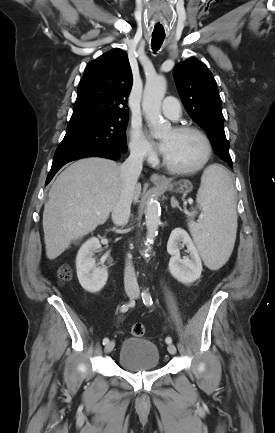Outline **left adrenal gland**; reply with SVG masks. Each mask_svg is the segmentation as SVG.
Masks as SVG:
<instances>
[{
	"mask_svg": "<svg viewBox=\"0 0 275 433\" xmlns=\"http://www.w3.org/2000/svg\"><path fill=\"white\" fill-rule=\"evenodd\" d=\"M171 206H172V208H179V209L181 210V208H180V206H179V203H178V201L175 199L174 196L171 198Z\"/></svg>",
	"mask_w": 275,
	"mask_h": 433,
	"instance_id": "left-adrenal-gland-1",
	"label": "left adrenal gland"
}]
</instances>
